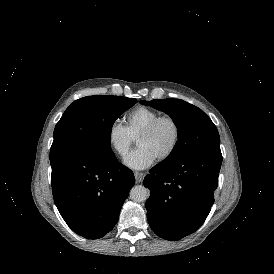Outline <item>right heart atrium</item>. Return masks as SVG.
Instances as JSON below:
<instances>
[{
  "label": "right heart atrium",
  "instance_id": "right-heart-atrium-1",
  "mask_svg": "<svg viewBox=\"0 0 274 274\" xmlns=\"http://www.w3.org/2000/svg\"><path fill=\"white\" fill-rule=\"evenodd\" d=\"M106 139L109 148L119 155H124L132 144V138L125 127L118 123H111L108 126Z\"/></svg>",
  "mask_w": 274,
  "mask_h": 274
}]
</instances>
